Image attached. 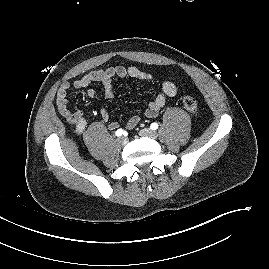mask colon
<instances>
[{
    "instance_id": "5ec220e1",
    "label": "colon",
    "mask_w": 269,
    "mask_h": 269,
    "mask_svg": "<svg viewBox=\"0 0 269 269\" xmlns=\"http://www.w3.org/2000/svg\"><path fill=\"white\" fill-rule=\"evenodd\" d=\"M183 105L188 111H190L192 113H195L197 111V107H198L197 102H196L195 98L190 96V95L184 96Z\"/></svg>"
}]
</instances>
